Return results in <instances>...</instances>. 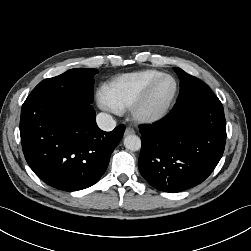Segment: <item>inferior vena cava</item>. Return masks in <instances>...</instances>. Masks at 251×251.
Listing matches in <instances>:
<instances>
[{"label": "inferior vena cava", "mask_w": 251, "mask_h": 251, "mask_svg": "<svg viewBox=\"0 0 251 251\" xmlns=\"http://www.w3.org/2000/svg\"><path fill=\"white\" fill-rule=\"evenodd\" d=\"M96 120L98 127L103 131H112L116 126V121L107 113H99Z\"/></svg>", "instance_id": "602c4592"}]
</instances>
